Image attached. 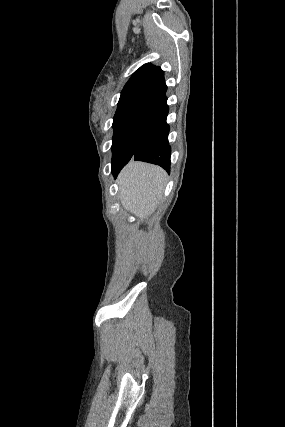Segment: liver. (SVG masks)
I'll use <instances>...</instances> for the list:
<instances>
[{"instance_id": "1", "label": "liver", "mask_w": 285, "mask_h": 427, "mask_svg": "<svg viewBox=\"0 0 285 427\" xmlns=\"http://www.w3.org/2000/svg\"><path fill=\"white\" fill-rule=\"evenodd\" d=\"M166 178L159 166L130 161L118 176L122 206L139 220L146 219L162 198Z\"/></svg>"}]
</instances>
